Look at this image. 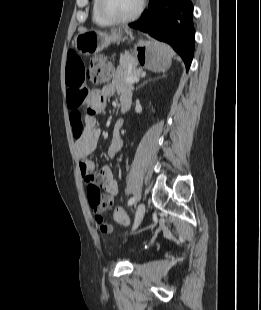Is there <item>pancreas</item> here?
<instances>
[{
    "label": "pancreas",
    "mask_w": 261,
    "mask_h": 310,
    "mask_svg": "<svg viewBox=\"0 0 261 310\" xmlns=\"http://www.w3.org/2000/svg\"><path fill=\"white\" fill-rule=\"evenodd\" d=\"M120 67L122 74L117 75L124 87L132 88V84L126 82L127 77H139L141 69L136 67V61L129 54H121L120 56Z\"/></svg>",
    "instance_id": "cf45deb5"
}]
</instances>
